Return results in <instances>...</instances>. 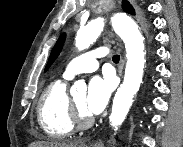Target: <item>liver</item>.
<instances>
[{
  "label": "liver",
  "mask_w": 183,
  "mask_h": 147,
  "mask_svg": "<svg viewBox=\"0 0 183 147\" xmlns=\"http://www.w3.org/2000/svg\"><path fill=\"white\" fill-rule=\"evenodd\" d=\"M29 147H85V144L81 142L37 141L31 143Z\"/></svg>",
  "instance_id": "liver-1"
}]
</instances>
